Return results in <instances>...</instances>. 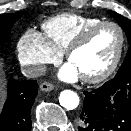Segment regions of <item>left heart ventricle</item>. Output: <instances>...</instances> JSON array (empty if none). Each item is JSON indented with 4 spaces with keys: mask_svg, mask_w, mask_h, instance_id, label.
Instances as JSON below:
<instances>
[{
    "mask_svg": "<svg viewBox=\"0 0 131 131\" xmlns=\"http://www.w3.org/2000/svg\"><path fill=\"white\" fill-rule=\"evenodd\" d=\"M120 37L116 28L104 26L98 29L88 42L73 53L69 63L80 76H92L105 70L113 61Z\"/></svg>",
    "mask_w": 131,
    "mask_h": 131,
    "instance_id": "1",
    "label": "left heart ventricle"
}]
</instances>
